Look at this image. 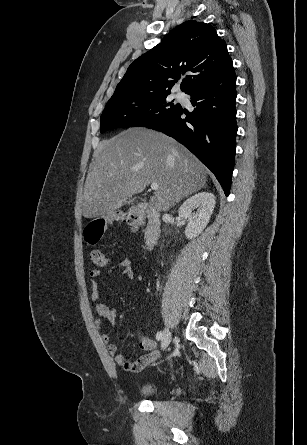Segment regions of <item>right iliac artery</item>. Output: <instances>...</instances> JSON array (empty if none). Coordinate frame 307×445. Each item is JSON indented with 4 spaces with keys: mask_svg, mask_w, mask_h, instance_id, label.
<instances>
[{
    "mask_svg": "<svg viewBox=\"0 0 307 445\" xmlns=\"http://www.w3.org/2000/svg\"><path fill=\"white\" fill-rule=\"evenodd\" d=\"M163 333L160 331L156 334V339L161 340Z\"/></svg>",
    "mask_w": 307,
    "mask_h": 445,
    "instance_id": "82829eb1",
    "label": "right iliac artery"
}]
</instances>
